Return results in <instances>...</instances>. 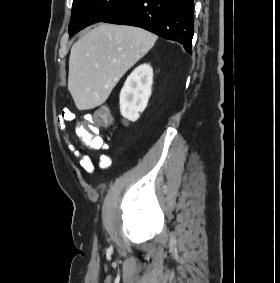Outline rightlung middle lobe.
<instances>
[{
  "instance_id": "1",
  "label": "right lung middle lobe",
  "mask_w": 280,
  "mask_h": 283,
  "mask_svg": "<svg viewBox=\"0 0 280 283\" xmlns=\"http://www.w3.org/2000/svg\"><path fill=\"white\" fill-rule=\"evenodd\" d=\"M132 0H74L69 24L72 35L113 14Z\"/></svg>"
}]
</instances>
